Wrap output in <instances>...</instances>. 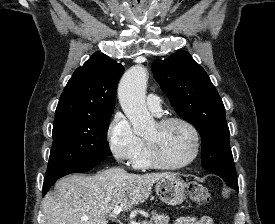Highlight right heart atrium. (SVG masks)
Returning <instances> with one entry per match:
<instances>
[{
	"instance_id": "right-heart-atrium-1",
	"label": "right heart atrium",
	"mask_w": 275,
	"mask_h": 224,
	"mask_svg": "<svg viewBox=\"0 0 275 224\" xmlns=\"http://www.w3.org/2000/svg\"><path fill=\"white\" fill-rule=\"evenodd\" d=\"M107 142L113 156L131 162L142 148V139L134 132L125 115L117 112L107 131Z\"/></svg>"
}]
</instances>
